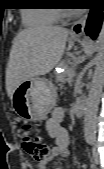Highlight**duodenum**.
<instances>
[{"mask_svg": "<svg viewBox=\"0 0 104 169\" xmlns=\"http://www.w3.org/2000/svg\"><path fill=\"white\" fill-rule=\"evenodd\" d=\"M86 108L85 100H78L74 106V114L76 117H82Z\"/></svg>", "mask_w": 104, "mask_h": 169, "instance_id": "obj_1", "label": "duodenum"}]
</instances>
